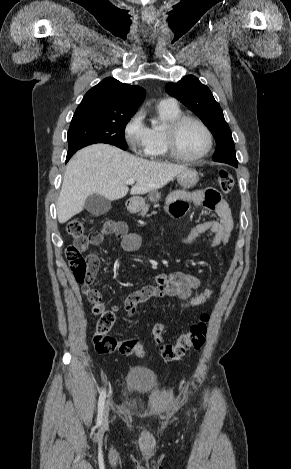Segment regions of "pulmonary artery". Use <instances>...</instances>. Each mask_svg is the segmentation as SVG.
<instances>
[{"mask_svg":"<svg viewBox=\"0 0 291 469\" xmlns=\"http://www.w3.org/2000/svg\"><path fill=\"white\" fill-rule=\"evenodd\" d=\"M160 105L175 107L177 106V101L174 98H166L160 102Z\"/></svg>","mask_w":291,"mask_h":469,"instance_id":"pulmonary-artery-1","label":"pulmonary artery"}]
</instances>
